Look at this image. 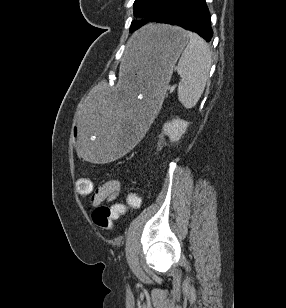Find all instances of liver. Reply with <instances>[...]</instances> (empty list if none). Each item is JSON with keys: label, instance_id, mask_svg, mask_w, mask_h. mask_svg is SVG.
Here are the masks:
<instances>
[{"label": "liver", "instance_id": "obj_1", "mask_svg": "<svg viewBox=\"0 0 286 308\" xmlns=\"http://www.w3.org/2000/svg\"><path fill=\"white\" fill-rule=\"evenodd\" d=\"M138 35V33H136L132 38H131V41H130V46H131V56L134 58V48H133V41L135 39V37Z\"/></svg>", "mask_w": 286, "mask_h": 308}]
</instances>
